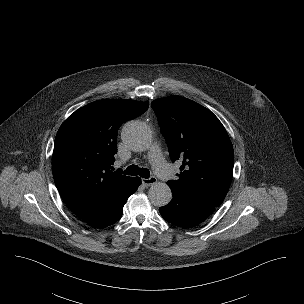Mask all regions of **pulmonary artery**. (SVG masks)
I'll list each match as a JSON object with an SVG mask.
<instances>
[{"label":"pulmonary artery","mask_w":304,"mask_h":304,"mask_svg":"<svg viewBox=\"0 0 304 304\" xmlns=\"http://www.w3.org/2000/svg\"><path fill=\"white\" fill-rule=\"evenodd\" d=\"M149 159L156 174L162 179H169L173 175V170L164 159L158 144H153L150 148Z\"/></svg>","instance_id":"e3ab8cb5"}]
</instances>
